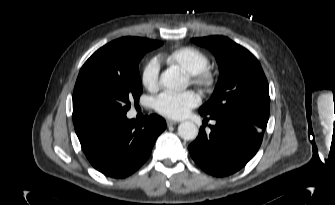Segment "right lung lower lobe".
<instances>
[{"instance_id": "98d812e1", "label": "right lung lower lobe", "mask_w": 335, "mask_h": 205, "mask_svg": "<svg viewBox=\"0 0 335 205\" xmlns=\"http://www.w3.org/2000/svg\"><path fill=\"white\" fill-rule=\"evenodd\" d=\"M81 147L94 168L106 176L124 178L148 159L165 120L156 115L142 122L125 115L75 125Z\"/></svg>"}]
</instances>
